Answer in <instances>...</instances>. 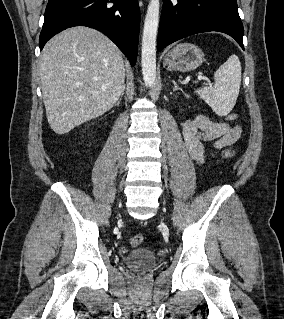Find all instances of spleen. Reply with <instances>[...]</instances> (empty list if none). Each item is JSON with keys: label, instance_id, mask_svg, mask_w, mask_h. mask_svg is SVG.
<instances>
[{"label": "spleen", "instance_id": "3e777b00", "mask_svg": "<svg viewBox=\"0 0 284 319\" xmlns=\"http://www.w3.org/2000/svg\"><path fill=\"white\" fill-rule=\"evenodd\" d=\"M214 86H206L196 93L219 116H226L233 109L241 84V64L233 54L214 73Z\"/></svg>", "mask_w": 284, "mask_h": 319}]
</instances>
